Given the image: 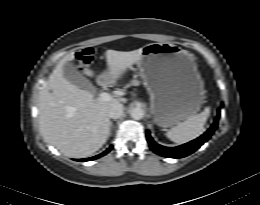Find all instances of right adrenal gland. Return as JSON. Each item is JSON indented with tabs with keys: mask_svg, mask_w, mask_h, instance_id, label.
Returning <instances> with one entry per match:
<instances>
[{
	"mask_svg": "<svg viewBox=\"0 0 260 205\" xmlns=\"http://www.w3.org/2000/svg\"><path fill=\"white\" fill-rule=\"evenodd\" d=\"M112 127H113V123L112 122H110V132H109V136H111V131H112Z\"/></svg>",
	"mask_w": 260,
	"mask_h": 205,
	"instance_id": "obj_1",
	"label": "right adrenal gland"
}]
</instances>
